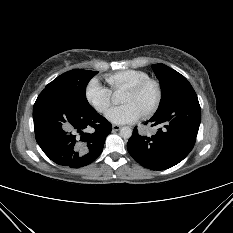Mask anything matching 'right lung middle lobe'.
<instances>
[{
	"mask_svg": "<svg viewBox=\"0 0 233 233\" xmlns=\"http://www.w3.org/2000/svg\"><path fill=\"white\" fill-rule=\"evenodd\" d=\"M97 73L95 71L74 69L54 79L45 89L59 92L80 106L91 107L85 95L86 86Z\"/></svg>",
	"mask_w": 233,
	"mask_h": 233,
	"instance_id": "obj_1",
	"label": "right lung middle lobe"
}]
</instances>
